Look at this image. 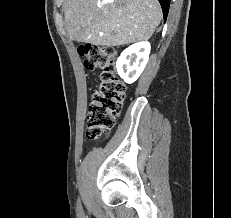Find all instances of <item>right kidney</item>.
<instances>
[{
  "mask_svg": "<svg viewBox=\"0 0 231 218\" xmlns=\"http://www.w3.org/2000/svg\"><path fill=\"white\" fill-rule=\"evenodd\" d=\"M150 43L139 42L126 48L117 59L119 76L128 84L135 82L143 72L150 54Z\"/></svg>",
  "mask_w": 231,
  "mask_h": 218,
  "instance_id": "ca27d5eb",
  "label": "right kidney"
}]
</instances>
